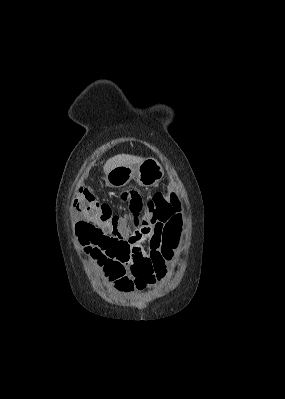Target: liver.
Segmentation results:
<instances>
[{
	"mask_svg": "<svg viewBox=\"0 0 285 399\" xmlns=\"http://www.w3.org/2000/svg\"><path fill=\"white\" fill-rule=\"evenodd\" d=\"M143 161V158L129 154L116 155L104 164L103 170L107 174L110 170L117 166H137Z\"/></svg>",
	"mask_w": 285,
	"mask_h": 399,
	"instance_id": "obj_1",
	"label": "liver"
}]
</instances>
